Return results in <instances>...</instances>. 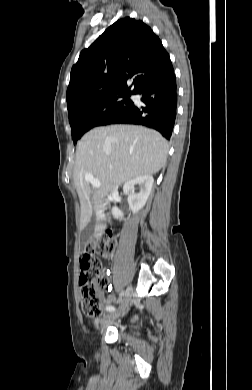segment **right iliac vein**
<instances>
[{"mask_svg": "<svg viewBox=\"0 0 252 390\" xmlns=\"http://www.w3.org/2000/svg\"><path fill=\"white\" fill-rule=\"evenodd\" d=\"M132 294H133V289L131 286H129L125 291V295H124V298H123L121 305L119 306V308L117 310L110 312L105 317V321H104L105 323L112 322L115 319L119 318L122 314H124V312L126 311V309L128 307V304L131 300Z\"/></svg>", "mask_w": 252, "mask_h": 390, "instance_id": "obj_1", "label": "right iliac vein"}]
</instances>
